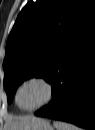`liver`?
Returning <instances> with one entry per match:
<instances>
[{"label": "liver", "mask_w": 95, "mask_h": 130, "mask_svg": "<svg viewBox=\"0 0 95 130\" xmlns=\"http://www.w3.org/2000/svg\"><path fill=\"white\" fill-rule=\"evenodd\" d=\"M31 118H33V116L10 118L6 128H8L7 130H17L21 125L28 122Z\"/></svg>", "instance_id": "1"}]
</instances>
